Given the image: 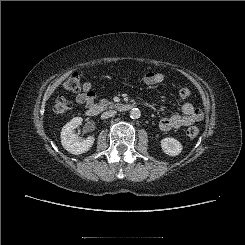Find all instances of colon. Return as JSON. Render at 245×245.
<instances>
[{
  "label": "colon",
  "mask_w": 245,
  "mask_h": 245,
  "mask_svg": "<svg viewBox=\"0 0 245 245\" xmlns=\"http://www.w3.org/2000/svg\"><path fill=\"white\" fill-rule=\"evenodd\" d=\"M64 89L72 93H80L82 91V83L80 76L75 73L72 74L64 83ZM191 92L188 88L183 87L179 90V96L182 99L188 98ZM72 108V102L65 97L60 95L54 103V111L58 114L66 113ZM199 134V130L196 127H190L186 131V135L189 138H195Z\"/></svg>",
  "instance_id": "colon-1"
}]
</instances>
